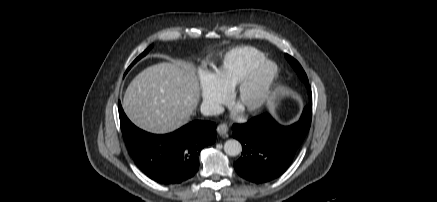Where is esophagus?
Here are the masks:
<instances>
[{
    "label": "esophagus",
    "mask_w": 437,
    "mask_h": 202,
    "mask_svg": "<svg viewBox=\"0 0 437 202\" xmlns=\"http://www.w3.org/2000/svg\"><path fill=\"white\" fill-rule=\"evenodd\" d=\"M228 131H229V128L224 123L217 126V132L220 136H226Z\"/></svg>",
    "instance_id": "esophagus-1"
}]
</instances>
